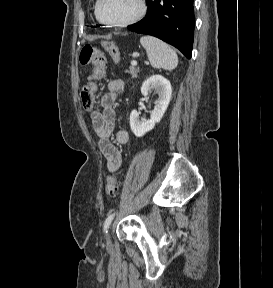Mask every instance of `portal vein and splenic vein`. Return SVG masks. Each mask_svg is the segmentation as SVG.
Here are the masks:
<instances>
[{
	"mask_svg": "<svg viewBox=\"0 0 273 288\" xmlns=\"http://www.w3.org/2000/svg\"><path fill=\"white\" fill-rule=\"evenodd\" d=\"M131 64H132V66H136L137 62L136 61H132Z\"/></svg>",
	"mask_w": 273,
	"mask_h": 288,
	"instance_id": "portal-vein-and-splenic-vein-1",
	"label": "portal vein and splenic vein"
}]
</instances>
